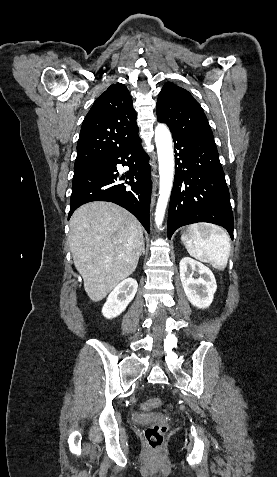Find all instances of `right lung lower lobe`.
<instances>
[{
    "mask_svg": "<svg viewBox=\"0 0 277 477\" xmlns=\"http://www.w3.org/2000/svg\"><path fill=\"white\" fill-rule=\"evenodd\" d=\"M127 165L130 170L119 176L116 165ZM128 179L129 182L122 180ZM151 194L148 155L138 137L123 148L73 176L70 212L91 201H109L130 211L150 232L149 208Z\"/></svg>",
    "mask_w": 277,
    "mask_h": 477,
    "instance_id": "1",
    "label": "right lung lower lobe"
}]
</instances>
